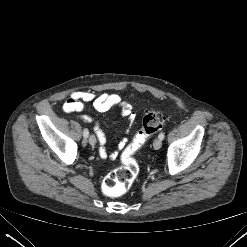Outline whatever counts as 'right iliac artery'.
I'll list each match as a JSON object with an SVG mask.
<instances>
[{
	"mask_svg": "<svg viewBox=\"0 0 247 247\" xmlns=\"http://www.w3.org/2000/svg\"><path fill=\"white\" fill-rule=\"evenodd\" d=\"M83 136L85 137V138H87L88 136H89V131H88V129H84V131H83Z\"/></svg>",
	"mask_w": 247,
	"mask_h": 247,
	"instance_id": "obj_1",
	"label": "right iliac artery"
}]
</instances>
